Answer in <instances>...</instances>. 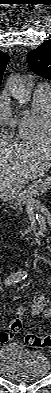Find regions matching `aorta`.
<instances>
[{
  "label": "aorta",
  "mask_w": 51,
  "mask_h": 393,
  "mask_svg": "<svg viewBox=\"0 0 51 393\" xmlns=\"http://www.w3.org/2000/svg\"><path fill=\"white\" fill-rule=\"evenodd\" d=\"M10 90L12 95L22 104H27L30 99V87L27 83L13 78L10 80Z\"/></svg>",
  "instance_id": "762f6f07"
}]
</instances>
